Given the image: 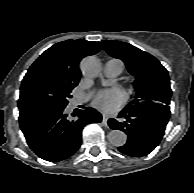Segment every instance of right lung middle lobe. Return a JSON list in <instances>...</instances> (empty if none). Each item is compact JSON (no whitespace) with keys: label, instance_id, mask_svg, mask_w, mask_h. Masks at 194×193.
<instances>
[{"label":"right lung middle lobe","instance_id":"right-lung-middle-lobe-1","mask_svg":"<svg viewBox=\"0 0 194 193\" xmlns=\"http://www.w3.org/2000/svg\"><path fill=\"white\" fill-rule=\"evenodd\" d=\"M74 87L57 81L41 83L32 97L19 101V110L65 108L68 99L72 97L70 93Z\"/></svg>","mask_w":194,"mask_h":193}]
</instances>
